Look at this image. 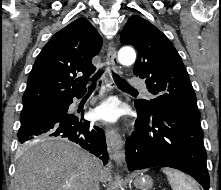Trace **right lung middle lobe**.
Here are the masks:
<instances>
[{
	"label": "right lung middle lobe",
	"instance_id": "obj_1",
	"mask_svg": "<svg viewBox=\"0 0 221 190\" xmlns=\"http://www.w3.org/2000/svg\"><path fill=\"white\" fill-rule=\"evenodd\" d=\"M60 103L61 102L49 103V104H44V105L37 106V107L23 109L20 114L21 124H24V123L31 121L37 117H40L41 115L54 109Z\"/></svg>",
	"mask_w": 221,
	"mask_h": 190
}]
</instances>
